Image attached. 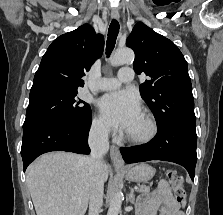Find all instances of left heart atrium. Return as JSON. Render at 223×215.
<instances>
[{"label":"left heart atrium","instance_id":"1","mask_svg":"<svg viewBox=\"0 0 223 215\" xmlns=\"http://www.w3.org/2000/svg\"><path fill=\"white\" fill-rule=\"evenodd\" d=\"M98 106L109 125L126 130L141 112L139 97L132 90L105 94L98 100Z\"/></svg>","mask_w":223,"mask_h":215}]
</instances>
